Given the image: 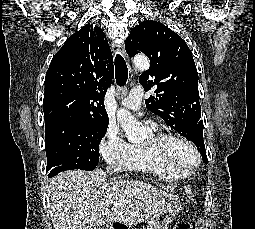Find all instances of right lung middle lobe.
<instances>
[{
    "mask_svg": "<svg viewBox=\"0 0 255 229\" xmlns=\"http://www.w3.org/2000/svg\"><path fill=\"white\" fill-rule=\"evenodd\" d=\"M108 121L45 124V148L49 177L66 170H93L99 161V144Z\"/></svg>",
    "mask_w": 255,
    "mask_h": 229,
    "instance_id": "right-lung-middle-lobe-1",
    "label": "right lung middle lobe"
}]
</instances>
